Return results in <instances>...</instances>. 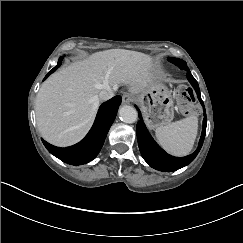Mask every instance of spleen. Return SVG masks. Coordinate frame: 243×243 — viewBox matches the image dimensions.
Here are the masks:
<instances>
[{"label":"spleen","mask_w":243,"mask_h":243,"mask_svg":"<svg viewBox=\"0 0 243 243\" xmlns=\"http://www.w3.org/2000/svg\"><path fill=\"white\" fill-rule=\"evenodd\" d=\"M197 131V117L189 116L181 121L157 127L155 134L159 144L168 153L182 157L191 152Z\"/></svg>","instance_id":"spleen-1"}]
</instances>
